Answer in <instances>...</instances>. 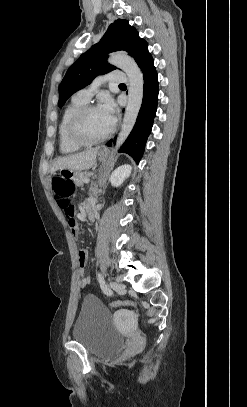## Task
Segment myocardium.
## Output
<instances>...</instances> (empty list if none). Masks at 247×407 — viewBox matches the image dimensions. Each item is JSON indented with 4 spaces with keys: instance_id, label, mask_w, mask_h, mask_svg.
Here are the masks:
<instances>
[{
    "instance_id": "obj_1",
    "label": "myocardium",
    "mask_w": 247,
    "mask_h": 407,
    "mask_svg": "<svg viewBox=\"0 0 247 407\" xmlns=\"http://www.w3.org/2000/svg\"><path fill=\"white\" fill-rule=\"evenodd\" d=\"M98 108L99 107L94 104H85L72 115L68 124V134L73 142L82 146H91L102 143L113 134V126L105 135L96 139H89L82 133L81 124L84 116L91 110H95Z\"/></svg>"
}]
</instances>
